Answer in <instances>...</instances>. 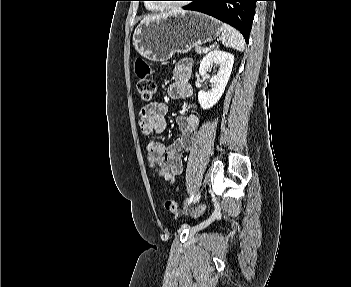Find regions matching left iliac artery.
Returning <instances> with one entry per match:
<instances>
[{"mask_svg": "<svg viewBox=\"0 0 351 287\" xmlns=\"http://www.w3.org/2000/svg\"><path fill=\"white\" fill-rule=\"evenodd\" d=\"M193 200H194V194H192L191 197L187 199V204L192 203Z\"/></svg>", "mask_w": 351, "mask_h": 287, "instance_id": "obj_1", "label": "left iliac artery"}]
</instances>
